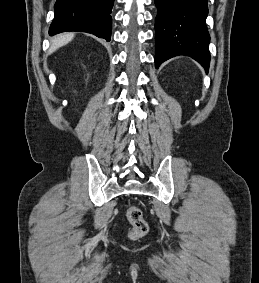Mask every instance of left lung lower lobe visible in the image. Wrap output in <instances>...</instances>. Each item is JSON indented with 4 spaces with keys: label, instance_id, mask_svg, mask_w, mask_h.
<instances>
[{
    "label": "left lung lower lobe",
    "instance_id": "obj_1",
    "mask_svg": "<svg viewBox=\"0 0 259 283\" xmlns=\"http://www.w3.org/2000/svg\"><path fill=\"white\" fill-rule=\"evenodd\" d=\"M155 4L156 68L174 56L187 55L208 71L207 0H155Z\"/></svg>",
    "mask_w": 259,
    "mask_h": 283
}]
</instances>
